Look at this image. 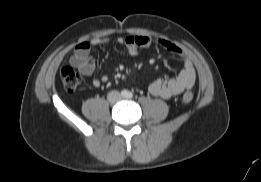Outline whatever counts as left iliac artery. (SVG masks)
Wrapping results in <instances>:
<instances>
[{
	"label": "left iliac artery",
	"instance_id": "left-iliac-artery-1",
	"mask_svg": "<svg viewBox=\"0 0 261 182\" xmlns=\"http://www.w3.org/2000/svg\"><path fill=\"white\" fill-rule=\"evenodd\" d=\"M128 98H132L133 97V94L131 92L128 93L127 95Z\"/></svg>",
	"mask_w": 261,
	"mask_h": 182
}]
</instances>
